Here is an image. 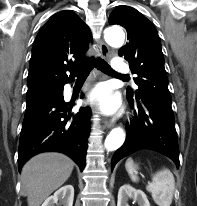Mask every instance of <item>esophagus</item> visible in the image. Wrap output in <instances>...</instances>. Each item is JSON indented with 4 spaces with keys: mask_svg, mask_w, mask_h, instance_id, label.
Here are the masks:
<instances>
[{
    "mask_svg": "<svg viewBox=\"0 0 197 206\" xmlns=\"http://www.w3.org/2000/svg\"><path fill=\"white\" fill-rule=\"evenodd\" d=\"M99 51H100V55L102 57H108L109 55V47L107 46V44L103 41V40H99ZM104 125L105 127L107 128H110L114 125L113 122H110L108 120H105L104 121Z\"/></svg>",
    "mask_w": 197,
    "mask_h": 206,
    "instance_id": "obj_1",
    "label": "esophagus"
}]
</instances>
